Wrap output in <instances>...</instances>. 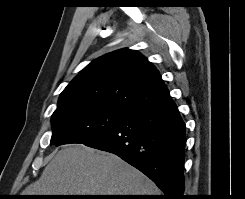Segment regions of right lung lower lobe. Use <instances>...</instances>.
Returning <instances> with one entry per match:
<instances>
[{
	"label": "right lung lower lobe",
	"instance_id": "1",
	"mask_svg": "<svg viewBox=\"0 0 245 199\" xmlns=\"http://www.w3.org/2000/svg\"><path fill=\"white\" fill-rule=\"evenodd\" d=\"M83 144L116 154L140 170L163 191V199L183 198L185 124L170 96L129 112Z\"/></svg>",
	"mask_w": 245,
	"mask_h": 199
}]
</instances>
